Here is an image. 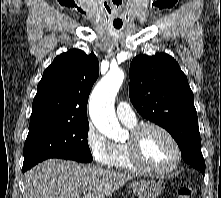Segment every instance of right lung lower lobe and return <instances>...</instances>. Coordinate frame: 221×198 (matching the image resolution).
I'll return each instance as SVG.
<instances>
[{"label":"right lung lower lobe","instance_id":"98d812e1","mask_svg":"<svg viewBox=\"0 0 221 198\" xmlns=\"http://www.w3.org/2000/svg\"><path fill=\"white\" fill-rule=\"evenodd\" d=\"M61 159H63V158H61ZM68 160H72V159H68ZM29 169H30V168L23 169V173L26 172V171H28Z\"/></svg>","mask_w":221,"mask_h":198}]
</instances>
